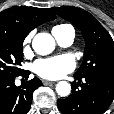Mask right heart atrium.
I'll return each instance as SVG.
<instances>
[{
	"label": "right heart atrium",
	"mask_w": 114,
	"mask_h": 114,
	"mask_svg": "<svg viewBox=\"0 0 114 114\" xmlns=\"http://www.w3.org/2000/svg\"><path fill=\"white\" fill-rule=\"evenodd\" d=\"M31 40V35H28L26 38H25V41H24V46H25V49L28 48V44Z\"/></svg>",
	"instance_id": "d8ad5b80"
}]
</instances>
